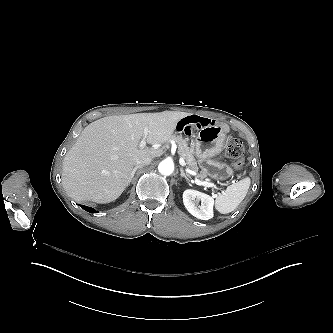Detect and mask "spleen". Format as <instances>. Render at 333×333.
Wrapping results in <instances>:
<instances>
[{
    "mask_svg": "<svg viewBox=\"0 0 333 333\" xmlns=\"http://www.w3.org/2000/svg\"><path fill=\"white\" fill-rule=\"evenodd\" d=\"M249 187V179H242L237 183L228 185L226 189L215 198L214 209L221 214L232 212L244 200Z\"/></svg>",
    "mask_w": 333,
    "mask_h": 333,
    "instance_id": "spleen-1",
    "label": "spleen"
}]
</instances>
